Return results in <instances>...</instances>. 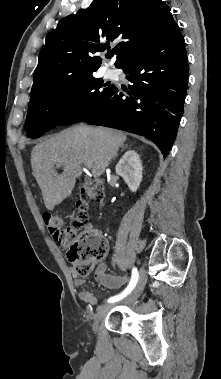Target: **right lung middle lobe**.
Returning a JSON list of instances; mask_svg holds the SVG:
<instances>
[{"mask_svg": "<svg viewBox=\"0 0 221 379\" xmlns=\"http://www.w3.org/2000/svg\"><path fill=\"white\" fill-rule=\"evenodd\" d=\"M93 73L54 82L30 99L26 118V136L38 138L57 125L72 124L87 115L110 92Z\"/></svg>", "mask_w": 221, "mask_h": 379, "instance_id": "dd1d6c3e", "label": "right lung middle lobe"}]
</instances>
